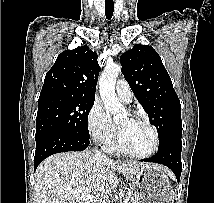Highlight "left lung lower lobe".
Returning a JSON list of instances; mask_svg holds the SVG:
<instances>
[{
  "label": "left lung lower lobe",
  "instance_id": "0a47b994",
  "mask_svg": "<svg viewBox=\"0 0 214 203\" xmlns=\"http://www.w3.org/2000/svg\"><path fill=\"white\" fill-rule=\"evenodd\" d=\"M181 151V137H175L160 146L158 152L153 157L149 159H142L141 161L154 162L167 166L174 172L179 183L182 171Z\"/></svg>",
  "mask_w": 214,
  "mask_h": 203
}]
</instances>
